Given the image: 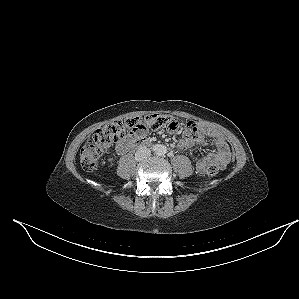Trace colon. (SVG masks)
I'll use <instances>...</instances> for the list:
<instances>
[{
	"instance_id": "1",
	"label": "colon",
	"mask_w": 299,
	"mask_h": 299,
	"mask_svg": "<svg viewBox=\"0 0 299 299\" xmlns=\"http://www.w3.org/2000/svg\"><path fill=\"white\" fill-rule=\"evenodd\" d=\"M166 128L170 132L180 131V123L172 116L151 114L145 117L118 120L110 122L98 129L80 150V163L85 170H92L98 164L102 154L113 144L120 142L130 135L146 132L148 129ZM198 133L196 124L188 122L184 128L186 137L194 138ZM219 168L210 165L206 168L207 175H215Z\"/></svg>"
}]
</instances>
